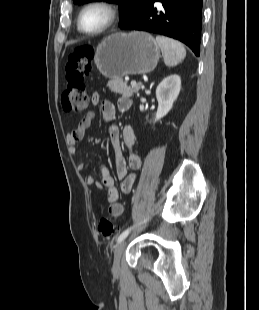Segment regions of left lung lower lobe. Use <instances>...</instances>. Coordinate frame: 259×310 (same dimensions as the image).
Segmentation results:
<instances>
[{"label": "left lung lower lobe", "instance_id": "0a47b994", "mask_svg": "<svg viewBox=\"0 0 259 310\" xmlns=\"http://www.w3.org/2000/svg\"><path fill=\"white\" fill-rule=\"evenodd\" d=\"M155 2L162 3L160 10ZM202 0H150L145 9L121 29L153 32L186 44L200 54Z\"/></svg>", "mask_w": 259, "mask_h": 310}]
</instances>
